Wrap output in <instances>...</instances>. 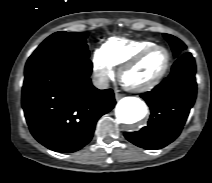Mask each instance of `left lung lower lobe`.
Masks as SVG:
<instances>
[{
	"label": "left lung lower lobe",
	"instance_id": "left-lung-lower-lobe-1",
	"mask_svg": "<svg viewBox=\"0 0 212 183\" xmlns=\"http://www.w3.org/2000/svg\"><path fill=\"white\" fill-rule=\"evenodd\" d=\"M193 56L184 53L172 66L171 74L153 90L141 95L151 110L148 125L124 136L133 144L156 150L174 141L180 134L197 92Z\"/></svg>",
	"mask_w": 212,
	"mask_h": 183
}]
</instances>
